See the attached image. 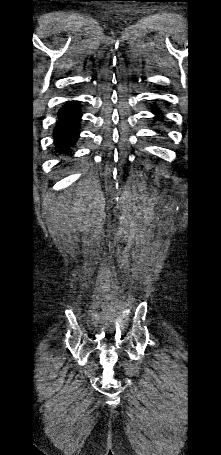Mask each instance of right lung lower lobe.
I'll use <instances>...</instances> for the list:
<instances>
[{
	"mask_svg": "<svg viewBox=\"0 0 221 455\" xmlns=\"http://www.w3.org/2000/svg\"><path fill=\"white\" fill-rule=\"evenodd\" d=\"M58 121L53 130L56 154L70 155L80 134L82 114L78 102L65 104L58 111Z\"/></svg>",
	"mask_w": 221,
	"mask_h": 455,
	"instance_id": "right-lung-lower-lobe-1",
	"label": "right lung lower lobe"
}]
</instances>
